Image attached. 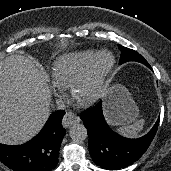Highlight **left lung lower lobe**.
<instances>
[{
	"label": "left lung lower lobe",
	"instance_id": "0a47b994",
	"mask_svg": "<svg viewBox=\"0 0 171 171\" xmlns=\"http://www.w3.org/2000/svg\"><path fill=\"white\" fill-rule=\"evenodd\" d=\"M81 119L88 131L90 155L95 164L106 170H119L137 161L148 149L159 125L158 119L145 136L138 139L124 138L107 125L101 101L81 115Z\"/></svg>",
	"mask_w": 171,
	"mask_h": 171
}]
</instances>
